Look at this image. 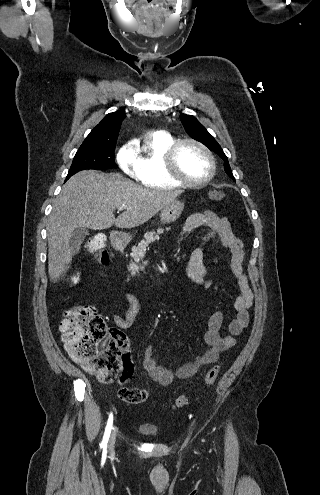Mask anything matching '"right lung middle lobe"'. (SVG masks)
I'll use <instances>...</instances> for the list:
<instances>
[{"label": "right lung middle lobe", "mask_w": 320, "mask_h": 495, "mask_svg": "<svg viewBox=\"0 0 320 495\" xmlns=\"http://www.w3.org/2000/svg\"><path fill=\"white\" fill-rule=\"evenodd\" d=\"M115 146V143L99 146H80L66 180L81 170L116 168L117 165L114 161Z\"/></svg>", "instance_id": "obj_1"}]
</instances>
